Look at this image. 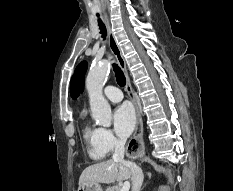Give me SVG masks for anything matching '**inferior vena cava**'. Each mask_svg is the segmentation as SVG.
Segmentation results:
<instances>
[{"label": "inferior vena cava", "mask_w": 233, "mask_h": 191, "mask_svg": "<svg viewBox=\"0 0 233 191\" xmlns=\"http://www.w3.org/2000/svg\"><path fill=\"white\" fill-rule=\"evenodd\" d=\"M126 138L121 137L115 143V151L113 154V161L120 162L128 166L131 170V181H132V191H140L143 183V172L142 169L131 161L124 160V151H125Z\"/></svg>", "instance_id": "602c4592"}]
</instances>
